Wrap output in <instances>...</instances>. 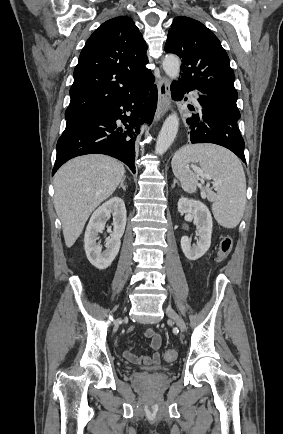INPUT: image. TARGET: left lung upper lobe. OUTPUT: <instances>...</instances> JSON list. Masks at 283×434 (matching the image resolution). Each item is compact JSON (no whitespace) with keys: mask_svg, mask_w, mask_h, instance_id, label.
Returning <instances> with one entry per match:
<instances>
[{"mask_svg":"<svg viewBox=\"0 0 283 434\" xmlns=\"http://www.w3.org/2000/svg\"><path fill=\"white\" fill-rule=\"evenodd\" d=\"M165 51L182 60L179 82L237 107L238 93L229 57L219 39L205 25L189 17H176L168 31Z\"/></svg>","mask_w":283,"mask_h":434,"instance_id":"5c2ea615","label":"left lung upper lobe"}]
</instances>
